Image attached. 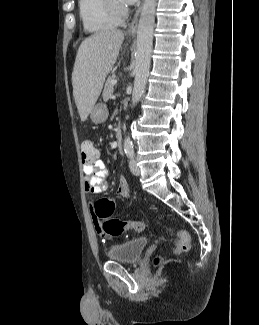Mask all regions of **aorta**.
<instances>
[{"label":"aorta","instance_id":"aorta-1","mask_svg":"<svg viewBox=\"0 0 259 325\" xmlns=\"http://www.w3.org/2000/svg\"><path fill=\"white\" fill-rule=\"evenodd\" d=\"M156 0H144L141 11L138 30H137V48L136 64L134 68V86L132 92V104L135 106L142 97L151 62V53L153 46V32L155 23ZM130 138L125 139V147H131Z\"/></svg>","mask_w":259,"mask_h":325}]
</instances>
